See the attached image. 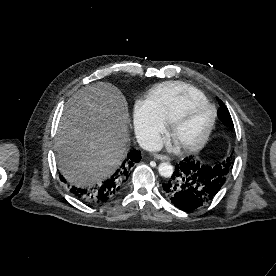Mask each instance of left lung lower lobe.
<instances>
[{"label":"left lung lower lobe","mask_w":276,"mask_h":276,"mask_svg":"<svg viewBox=\"0 0 276 276\" xmlns=\"http://www.w3.org/2000/svg\"><path fill=\"white\" fill-rule=\"evenodd\" d=\"M226 174L224 168L186 157L175 166L172 177L163 184V189L176 207L193 210L213 199L223 187Z\"/></svg>","instance_id":"left-lung-lower-lobe-1"}]
</instances>
